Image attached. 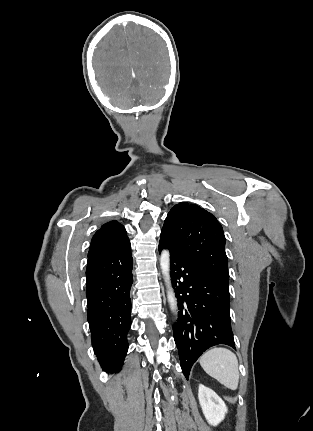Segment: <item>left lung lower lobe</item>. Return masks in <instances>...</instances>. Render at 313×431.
<instances>
[{
    "instance_id": "0a47b994",
    "label": "left lung lower lobe",
    "mask_w": 313,
    "mask_h": 431,
    "mask_svg": "<svg viewBox=\"0 0 313 431\" xmlns=\"http://www.w3.org/2000/svg\"><path fill=\"white\" fill-rule=\"evenodd\" d=\"M170 251L171 278L178 299V322L173 327L180 365L186 378L199 356L217 344L235 348L227 282L175 254L162 241L159 252Z\"/></svg>"
}]
</instances>
